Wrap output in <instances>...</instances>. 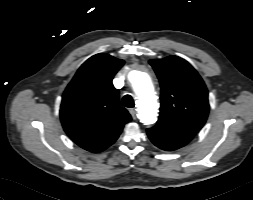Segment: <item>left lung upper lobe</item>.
Masks as SVG:
<instances>
[{
  "mask_svg": "<svg viewBox=\"0 0 253 200\" xmlns=\"http://www.w3.org/2000/svg\"><path fill=\"white\" fill-rule=\"evenodd\" d=\"M161 85L157 125L196 134L205 124L208 91L197 71L184 59L169 56L150 60Z\"/></svg>",
  "mask_w": 253,
  "mask_h": 200,
  "instance_id": "obj_1",
  "label": "left lung upper lobe"
}]
</instances>
